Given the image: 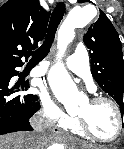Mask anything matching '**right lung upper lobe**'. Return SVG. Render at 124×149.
<instances>
[{"label":"right lung upper lobe","instance_id":"obj_1","mask_svg":"<svg viewBox=\"0 0 124 149\" xmlns=\"http://www.w3.org/2000/svg\"><path fill=\"white\" fill-rule=\"evenodd\" d=\"M50 12L39 0H8L0 7V68L21 67L44 39Z\"/></svg>","mask_w":124,"mask_h":149}]
</instances>
